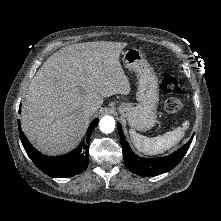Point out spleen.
<instances>
[{"instance_id":"1","label":"spleen","mask_w":221,"mask_h":221,"mask_svg":"<svg viewBox=\"0 0 221 221\" xmlns=\"http://www.w3.org/2000/svg\"><path fill=\"white\" fill-rule=\"evenodd\" d=\"M189 127V121H185L182 127H177L171 132L153 138H148L130 129V137L136 149L144 154L155 155L163 153L176 145L184 136L185 130Z\"/></svg>"}]
</instances>
